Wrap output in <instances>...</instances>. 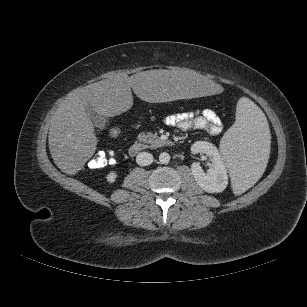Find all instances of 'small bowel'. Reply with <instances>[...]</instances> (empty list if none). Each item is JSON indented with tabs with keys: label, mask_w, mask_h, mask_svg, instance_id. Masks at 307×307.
Instances as JSON below:
<instances>
[{
	"label": "small bowel",
	"mask_w": 307,
	"mask_h": 307,
	"mask_svg": "<svg viewBox=\"0 0 307 307\" xmlns=\"http://www.w3.org/2000/svg\"><path fill=\"white\" fill-rule=\"evenodd\" d=\"M164 123L181 131L203 129L210 135H218L223 129L220 117L211 109L169 114Z\"/></svg>",
	"instance_id": "c3829d8e"
}]
</instances>
